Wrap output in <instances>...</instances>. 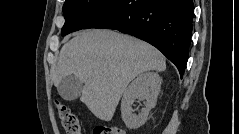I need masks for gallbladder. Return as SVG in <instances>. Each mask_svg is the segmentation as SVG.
Wrapping results in <instances>:
<instances>
[{
	"label": "gallbladder",
	"instance_id": "obj_1",
	"mask_svg": "<svg viewBox=\"0 0 239 134\" xmlns=\"http://www.w3.org/2000/svg\"><path fill=\"white\" fill-rule=\"evenodd\" d=\"M82 87V83L75 76L69 75L61 80L57 90L64 100L72 101L80 96Z\"/></svg>",
	"mask_w": 239,
	"mask_h": 134
}]
</instances>
